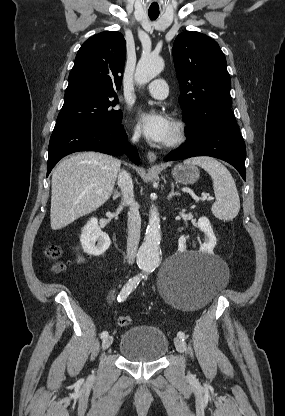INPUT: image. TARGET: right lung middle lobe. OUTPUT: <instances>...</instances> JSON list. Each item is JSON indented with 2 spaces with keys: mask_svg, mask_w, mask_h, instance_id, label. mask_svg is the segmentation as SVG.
I'll return each instance as SVG.
<instances>
[{
  "mask_svg": "<svg viewBox=\"0 0 285 416\" xmlns=\"http://www.w3.org/2000/svg\"><path fill=\"white\" fill-rule=\"evenodd\" d=\"M58 115L56 126L62 125H121L122 112L114 107L117 96L93 97L68 95Z\"/></svg>",
  "mask_w": 285,
  "mask_h": 416,
  "instance_id": "obj_1",
  "label": "right lung middle lobe"
}]
</instances>
